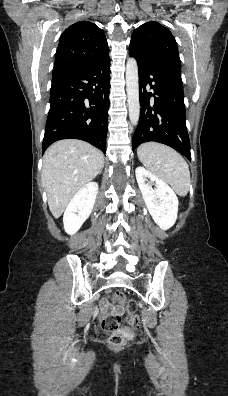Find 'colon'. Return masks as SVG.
<instances>
[{"label":"colon","instance_id":"colon-1","mask_svg":"<svg viewBox=\"0 0 228 396\" xmlns=\"http://www.w3.org/2000/svg\"><path fill=\"white\" fill-rule=\"evenodd\" d=\"M113 298L125 305L126 314L125 316L112 314L104 317L102 327L104 330L112 333L108 340L109 345L117 348L123 346L127 341L126 334L119 330L120 326L124 322H127L133 328H139L140 318L137 314L138 305L134 300L126 302L125 295L121 291H116Z\"/></svg>","mask_w":228,"mask_h":396}]
</instances>
